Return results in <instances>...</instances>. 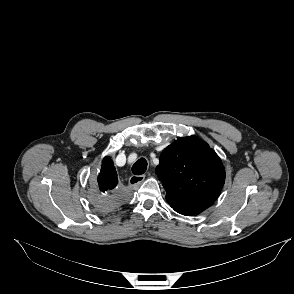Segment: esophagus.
Listing matches in <instances>:
<instances>
[{"label":"esophagus","mask_w":294,"mask_h":294,"mask_svg":"<svg viewBox=\"0 0 294 294\" xmlns=\"http://www.w3.org/2000/svg\"><path fill=\"white\" fill-rule=\"evenodd\" d=\"M144 179L145 175H132L129 178V184L132 187H138L143 183Z\"/></svg>","instance_id":"esophagus-1"}]
</instances>
